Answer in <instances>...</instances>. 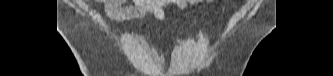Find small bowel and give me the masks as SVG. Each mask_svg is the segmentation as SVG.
Wrapping results in <instances>:
<instances>
[{
  "label": "small bowel",
  "instance_id": "small-bowel-1",
  "mask_svg": "<svg viewBox=\"0 0 333 76\" xmlns=\"http://www.w3.org/2000/svg\"><path fill=\"white\" fill-rule=\"evenodd\" d=\"M195 0H136L128 4L125 0H100L103 13L113 21H122L129 18H142L151 15L157 19L167 18L164 7L177 6L180 9H190Z\"/></svg>",
  "mask_w": 333,
  "mask_h": 76
}]
</instances>
